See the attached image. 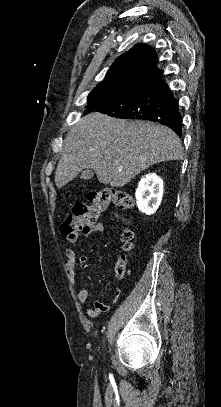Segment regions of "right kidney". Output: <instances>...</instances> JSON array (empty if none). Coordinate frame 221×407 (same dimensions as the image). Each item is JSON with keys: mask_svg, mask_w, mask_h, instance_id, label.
I'll list each match as a JSON object with an SVG mask.
<instances>
[{"mask_svg": "<svg viewBox=\"0 0 221 407\" xmlns=\"http://www.w3.org/2000/svg\"><path fill=\"white\" fill-rule=\"evenodd\" d=\"M163 191V180L156 173L143 176L135 193L138 209L146 215L154 214L162 201Z\"/></svg>", "mask_w": 221, "mask_h": 407, "instance_id": "obj_1", "label": "right kidney"}]
</instances>
